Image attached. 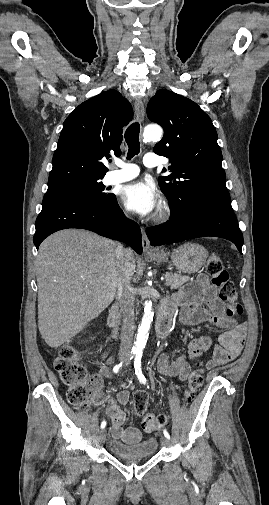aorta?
Returning a JSON list of instances; mask_svg holds the SVG:
<instances>
[{
	"instance_id": "762f6f07",
	"label": "aorta",
	"mask_w": 269,
	"mask_h": 505,
	"mask_svg": "<svg viewBox=\"0 0 269 505\" xmlns=\"http://www.w3.org/2000/svg\"><path fill=\"white\" fill-rule=\"evenodd\" d=\"M162 135L163 130L158 125L146 126L143 132V137L146 142L158 141L162 138ZM152 320H153L152 302L149 300L145 302L144 314L141 320V324L138 327L136 341L134 342L133 346L134 351L142 352L143 349L145 348Z\"/></svg>"
}]
</instances>
